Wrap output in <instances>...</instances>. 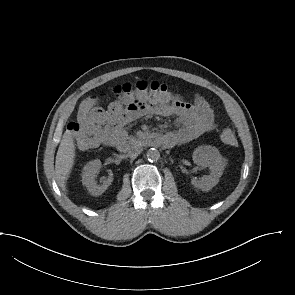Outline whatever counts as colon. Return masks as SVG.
Instances as JSON below:
<instances>
[{"mask_svg":"<svg viewBox=\"0 0 295 295\" xmlns=\"http://www.w3.org/2000/svg\"><path fill=\"white\" fill-rule=\"evenodd\" d=\"M168 86L164 83L159 82H146L139 81L136 83H125L121 85H117L108 90L109 94H113L116 96H122L126 93L143 91V92H166L168 91ZM99 97L96 95L89 96L85 98L78 110V117L76 122H74L73 127L76 130L82 129L86 120L93 113V111L97 108ZM221 141L224 144L234 146L237 144V138L234 131L230 128H225L222 130L220 134Z\"/></svg>","mask_w":295,"mask_h":295,"instance_id":"colon-1","label":"colon"}]
</instances>
